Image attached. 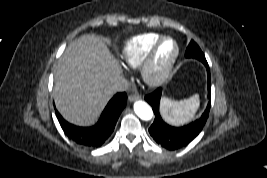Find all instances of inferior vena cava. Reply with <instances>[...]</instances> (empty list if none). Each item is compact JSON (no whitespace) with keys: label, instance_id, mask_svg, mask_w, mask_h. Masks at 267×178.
Masks as SVG:
<instances>
[{"label":"inferior vena cava","instance_id":"1","mask_svg":"<svg viewBox=\"0 0 267 178\" xmlns=\"http://www.w3.org/2000/svg\"><path fill=\"white\" fill-rule=\"evenodd\" d=\"M129 82L124 77H119L108 87V91L110 93H117V92H123L127 91L129 89Z\"/></svg>","mask_w":267,"mask_h":178}]
</instances>
